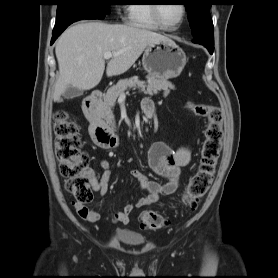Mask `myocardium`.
Segmentation results:
<instances>
[{
	"label": "myocardium",
	"instance_id": "myocardium-1",
	"mask_svg": "<svg viewBox=\"0 0 278 278\" xmlns=\"http://www.w3.org/2000/svg\"><path fill=\"white\" fill-rule=\"evenodd\" d=\"M181 7H182V16H181L180 21L175 26H169L162 21V19L160 18V15H159V5H157V4L152 5V8H151L152 17L160 28H162L164 30H168V31H174L183 24V22L187 16L186 5L181 4Z\"/></svg>",
	"mask_w": 278,
	"mask_h": 278
}]
</instances>
